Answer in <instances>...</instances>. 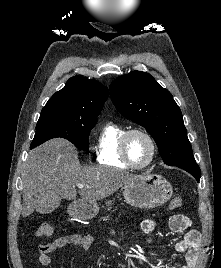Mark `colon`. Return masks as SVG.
Segmentation results:
<instances>
[{
  "label": "colon",
  "instance_id": "obj_1",
  "mask_svg": "<svg viewBox=\"0 0 221 268\" xmlns=\"http://www.w3.org/2000/svg\"><path fill=\"white\" fill-rule=\"evenodd\" d=\"M182 205V198L181 197H174L170 201V208L177 209ZM54 226L51 223H42L35 231V235L37 237H45L49 236L53 233Z\"/></svg>",
  "mask_w": 221,
  "mask_h": 268
}]
</instances>
